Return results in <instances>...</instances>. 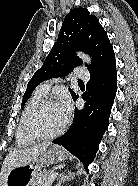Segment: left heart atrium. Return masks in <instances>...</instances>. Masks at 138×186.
<instances>
[{
    "label": "left heart atrium",
    "instance_id": "39dd6f15",
    "mask_svg": "<svg viewBox=\"0 0 138 186\" xmlns=\"http://www.w3.org/2000/svg\"><path fill=\"white\" fill-rule=\"evenodd\" d=\"M60 106L65 113L66 117L69 115L71 111V104L68 98H64L62 102L60 103Z\"/></svg>",
    "mask_w": 138,
    "mask_h": 186
}]
</instances>
